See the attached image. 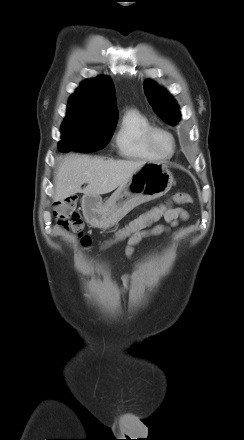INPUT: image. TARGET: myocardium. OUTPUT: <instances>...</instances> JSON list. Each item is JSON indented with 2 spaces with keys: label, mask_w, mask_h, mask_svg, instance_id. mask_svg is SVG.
<instances>
[{
  "label": "myocardium",
  "mask_w": 244,
  "mask_h": 440,
  "mask_svg": "<svg viewBox=\"0 0 244 440\" xmlns=\"http://www.w3.org/2000/svg\"><path fill=\"white\" fill-rule=\"evenodd\" d=\"M158 132L167 135L170 138L171 142H172V150L169 153H167V154H164V153L160 152L155 147V145H154L153 137H154L155 133H158ZM144 141H145V144L147 145V147L153 153L158 155L159 157H164V156L172 155L174 153V151H175V148H176V141H175L174 136L172 135L171 132H169L168 130H166V129L162 128V127L151 126L150 128H148L145 131V133H144Z\"/></svg>",
  "instance_id": "f54148a6"
}]
</instances>
